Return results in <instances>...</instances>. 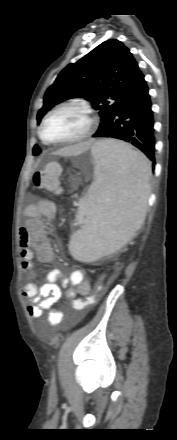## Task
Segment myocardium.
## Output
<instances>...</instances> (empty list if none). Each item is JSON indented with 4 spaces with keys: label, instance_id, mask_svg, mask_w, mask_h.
Masks as SVG:
<instances>
[{
    "label": "myocardium",
    "instance_id": "f54148a6",
    "mask_svg": "<svg viewBox=\"0 0 177 440\" xmlns=\"http://www.w3.org/2000/svg\"><path fill=\"white\" fill-rule=\"evenodd\" d=\"M62 110H75V111L83 114L85 116V118L87 119V127L80 135H78L74 138H69V139L60 140V141H49L43 135V130H44L45 124L53 114H55L59 111H62ZM95 126H96V121H95L94 117L91 115L90 111L86 107L78 105V104L68 103V104H62V105L57 106L56 108L51 110L43 118V120L39 126V129H38V135H39V138L41 139V141L47 145H66V144L77 143V142L85 140L86 138H88L92 134Z\"/></svg>",
    "mask_w": 177,
    "mask_h": 440
}]
</instances>
